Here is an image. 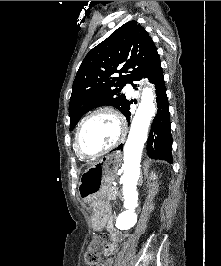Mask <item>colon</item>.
I'll list each match as a JSON object with an SVG mask.
<instances>
[{
	"label": "colon",
	"instance_id": "1",
	"mask_svg": "<svg viewBox=\"0 0 221 266\" xmlns=\"http://www.w3.org/2000/svg\"><path fill=\"white\" fill-rule=\"evenodd\" d=\"M107 236L105 234L96 235L90 242L85 255V261L88 266H92L99 261L100 255L104 249Z\"/></svg>",
	"mask_w": 221,
	"mask_h": 266
}]
</instances>
